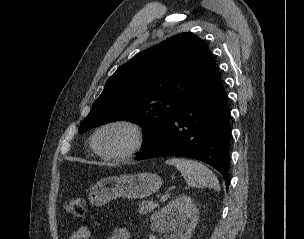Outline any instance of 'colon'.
<instances>
[{
    "instance_id": "1",
    "label": "colon",
    "mask_w": 304,
    "mask_h": 239,
    "mask_svg": "<svg viewBox=\"0 0 304 239\" xmlns=\"http://www.w3.org/2000/svg\"><path fill=\"white\" fill-rule=\"evenodd\" d=\"M65 210L76 217H82L85 213V200L82 196H75L65 202Z\"/></svg>"
}]
</instances>
